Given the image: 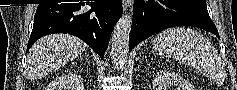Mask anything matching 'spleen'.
Here are the masks:
<instances>
[{"instance_id": "obj_1", "label": "spleen", "mask_w": 237, "mask_h": 90, "mask_svg": "<svg viewBox=\"0 0 237 90\" xmlns=\"http://www.w3.org/2000/svg\"><path fill=\"white\" fill-rule=\"evenodd\" d=\"M153 48L166 54L167 58L185 62L187 66H192L204 74L216 70L217 50L200 32H194L190 28L163 30L155 38Z\"/></svg>"}]
</instances>
